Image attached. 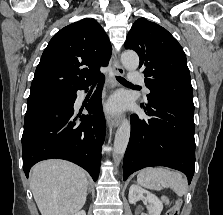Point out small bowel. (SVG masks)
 <instances>
[{"label":"small bowel","mask_w":223,"mask_h":215,"mask_svg":"<svg viewBox=\"0 0 223 215\" xmlns=\"http://www.w3.org/2000/svg\"><path fill=\"white\" fill-rule=\"evenodd\" d=\"M164 201H165V202H167V199H166V198H164Z\"/></svg>","instance_id":"obj_1"}]
</instances>
